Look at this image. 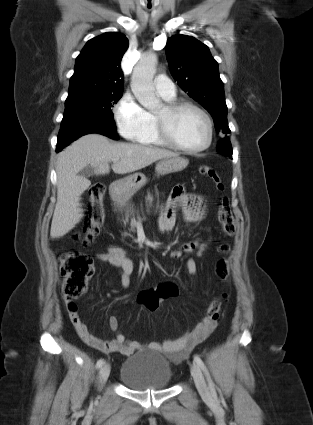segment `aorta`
Wrapping results in <instances>:
<instances>
[{"mask_svg":"<svg viewBox=\"0 0 313 425\" xmlns=\"http://www.w3.org/2000/svg\"><path fill=\"white\" fill-rule=\"evenodd\" d=\"M156 64L157 56L154 53L145 54L134 67L131 81V89L136 99L150 111L157 109L160 104L153 84Z\"/></svg>","mask_w":313,"mask_h":425,"instance_id":"762f6f07","label":"aorta"}]
</instances>
